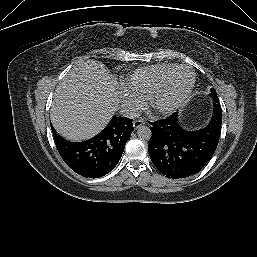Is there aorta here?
<instances>
[{
	"label": "aorta",
	"mask_w": 257,
	"mask_h": 257,
	"mask_svg": "<svg viewBox=\"0 0 257 257\" xmlns=\"http://www.w3.org/2000/svg\"><path fill=\"white\" fill-rule=\"evenodd\" d=\"M137 134L141 140H150L152 137V131L147 126H139L137 130Z\"/></svg>",
	"instance_id": "obj_1"
}]
</instances>
